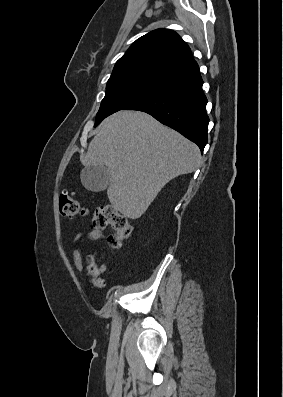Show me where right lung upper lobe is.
I'll return each mask as SVG.
<instances>
[{
  "instance_id": "obj_1",
  "label": "right lung upper lobe",
  "mask_w": 283,
  "mask_h": 397,
  "mask_svg": "<svg viewBox=\"0 0 283 397\" xmlns=\"http://www.w3.org/2000/svg\"><path fill=\"white\" fill-rule=\"evenodd\" d=\"M199 71L189 46L168 29L137 39L116 62L111 75L142 72L168 83Z\"/></svg>"
}]
</instances>
